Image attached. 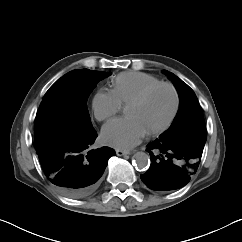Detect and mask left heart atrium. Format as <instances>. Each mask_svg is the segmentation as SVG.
I'll return each instance as SVG.
<instances>
[{"instance_id": "39dd6f15", "label": "left heart atrium", "mask_w": 242, "mask_h": 242, "mask_svg": "<svg viewBox=\"0 0 242 242\" xmlns=\"http://www.w3.org/2000/svg\"><path fill=\"white\" fill-rule=\"evenodd\" d=\"M146 133L136 119L127 114L105 124L101 137L107 145L120 149H129L139 144Z\"/></svg>"}]
</instances>
